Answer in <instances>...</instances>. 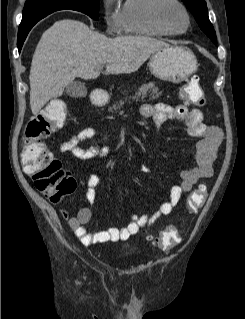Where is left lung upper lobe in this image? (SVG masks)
Listing matches in <instances>:
<instances>
[{"instance_id":"obj_1","label":"left lung upper lobe","mask_w":245,"mask_h":319,"mask_svg":"<svg viewBox=\"0 0 245 319\" xmlns=\"http://www.w3.org/2000/svg\"><path fill=\"white\" fill-rule=\"evenodd\" d=\"M194 15L202 31L216 44V33L207 15V6L204 0H182Z\"/></svg>"}]
</instances>
